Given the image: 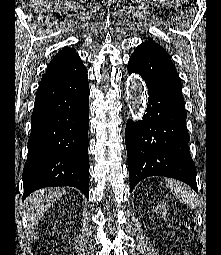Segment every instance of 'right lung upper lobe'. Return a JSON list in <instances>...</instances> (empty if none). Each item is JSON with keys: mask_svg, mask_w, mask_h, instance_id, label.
<instances>
[{"mask_svg": "<svg viewBox=\"0 0 221 255\" xmlns=\"http://www.w3.org/2000/svg\"><path fill=\"white\" fill-rule=\"evenodd\" d=\"M76 52L74 48H65L61 50L58 54L55 55V57L50 62L46 72L51 71L53 69H56L63 64L69 62L73 58L77 57Z\"/></svg>", "mask_w": 221, "mask_h": 255, "instance_id": "cb5924a9", "label": "right lung upper lobe"}]
</instances>
